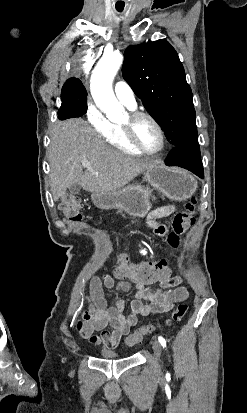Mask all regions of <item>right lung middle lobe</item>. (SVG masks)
<instances>
[{
  "instance_id": "obj_1",
  "label": "right lung middle lobe",
  "mask_w": 247,
  "mask_h": 413,
  "mask_svg": "<svg viewBox=\"0 0 247 413\" xmlns=\"http://www.w3.org/2000/svg\"><path fill=\"white\" fill-rule=\"evenodd\" d=\"M62 104L77 111L82 116L87 111V91L80 80H67L62 88Z\"/></svg>"
}]
</instances>
